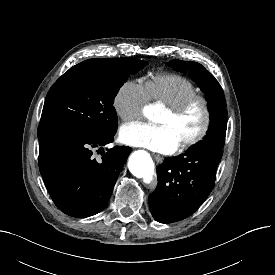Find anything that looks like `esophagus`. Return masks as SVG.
<instances>
[{
  "label": "esophagus",
  "mask_w": 275,
  "mask_h": 275,
  "mask_svg": "<svg viewBox=\"0 0 275 275\" xmlns=\"http://www.w3.org/2000/svg\"><path fill=\"white\" fill-rule=\"evenodd\" d=\"M154 159L156 160L157 163H162L163 162V157H161L158 154H153Z\"/></svg>",
  "instance_id": "1"
}]
</instances>
